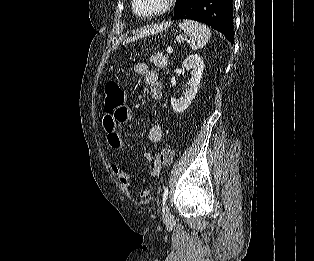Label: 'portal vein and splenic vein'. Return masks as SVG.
<instances>
[{
    "label": "portal vein and splenic vein",
    "mask_w": 314,
    "mask_h": 261,
    "mask_svg": "<svg viewBox=\"0 0 314 261\" xmlns=\"http://www.w3.org/2000/svg\"><path fill=\"white\" fill-rule=\"evenodd\" d=\"M167 52H168L169 54H172V53H173V49L170 47V48L167 49Z\"/></svg>",
    "instance_id": "obj_1"
}]
</instances>
